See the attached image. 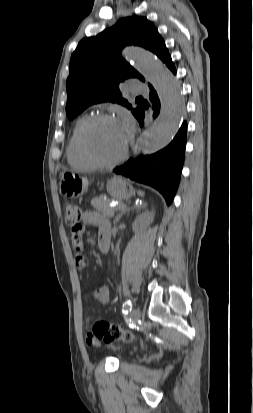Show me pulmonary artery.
Instances as JSON below:
<instances>
[{
	"instance_id": "pulmonary-artery-1",
	"label": "pulmonary artery",
	"mask_w": 253,
	"mask_h": 413,
	"mask_svg": "<svg viewBox=\"0 0 253 413\" xmlns=\"http://www.w3.org/2000/svg\"><path fill=\"white\" fill-rule=\"evenodd\" d=\"M131 90L135 94H148V88L144 84L133 82L131 84Z\"/></svg>"
}]
</instances>
